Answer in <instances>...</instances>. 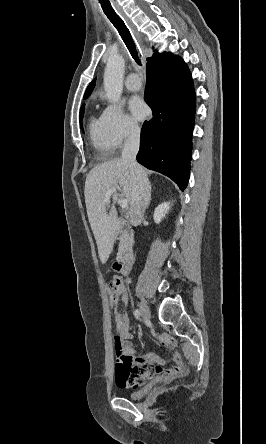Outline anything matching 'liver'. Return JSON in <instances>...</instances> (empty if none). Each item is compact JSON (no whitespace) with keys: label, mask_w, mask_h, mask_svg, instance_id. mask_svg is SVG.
Returning a JSON list of instances; mask_svg holds the SVG:
<instances>
[{"label":"liver","mask_w":266,"mask_h":444,"mask_svg":"<svg viewBox=\"0 0 266 444\" xmlns=\"http://www.w3.org/2000/svg\"><path fill=\"white\" fill-rule=\"evenodd\" d=\"M144 170V169H143ZM146 174V171L144 170ZM119 186L123 195L132 203L134 176L127 161L116 158L94 167L87 175L85 181V203L91 229L93 231L99 258L105 264L112 252L119 220L115 208L118 194H113L112 208L107 212L104 202L107 191Z\"/></svg>","instance_id":"1"}]
</instances>
